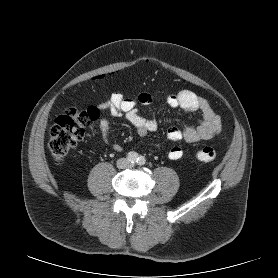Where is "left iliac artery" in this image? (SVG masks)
I'll list each match as a JSON object with an SVG mask.
<instances>
[{
	"mask_svg": "<svg viewBox=\"0 0 278 278\" xmlns=\"http://www.w3.org/2000/svg\"><path fill=\"white\" fill-rule=\"evenodd\" d=\"M146 162V159L143 157V156H139L138 159H137V164L142 166L144 165Z\"/></svg>",
	"mask_w": 278,
	"mask_h": 278,
	"instance_id": "1",
	"label": "left iliac artery"
}]
</instances>
